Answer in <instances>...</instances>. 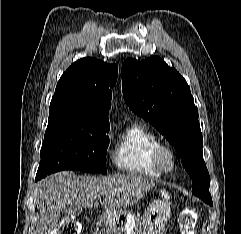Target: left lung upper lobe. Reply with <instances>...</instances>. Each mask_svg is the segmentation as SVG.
I'll return each mask as SVG.
<instances>
[{
    "instance_id": "left-lung-upper-lobe-1",
    "label": "left lung upper lobe",
    "mask_w": 241,
    "mask_h": 234,
    "mask_svg": "<svg viewBox=\"0 0 241 234\" xmlns=\"http://www.w3.org/2000/svg\"><path fill=\"white\" fill-rule=\"evenodd\" d=\"M121 73L123 97L129 108L174 146L193 179L192 193L212 206L198 108L186 80L157 56L143 61L129 58Z\"/></svg>"
}]
</instances>
